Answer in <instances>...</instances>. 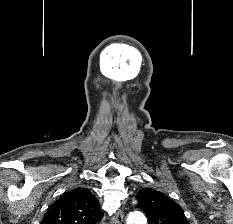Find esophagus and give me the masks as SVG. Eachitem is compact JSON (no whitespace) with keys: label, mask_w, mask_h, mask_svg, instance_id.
<instances>
[{"label":"esophagus","mask_w":233,"mask_h":224,"mask_svg":"<svg viewBox=\"0 0 233 224\" xmlns=\"http://www.w3.org/2000/svg\"><path fill=\"white\" fill-rule=\"evenodd\" d=\"M123 218H124L123 210L119 209L113 216L111 220V224H123Z\"/></svg>","instance_id":"1"}]
</instances>
